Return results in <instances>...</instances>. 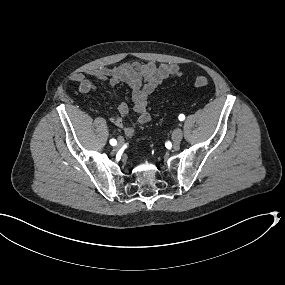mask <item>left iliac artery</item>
Here are the masks:
<instances>
[{
  "mask_svg": "<svg viewBox=\"0 0 285 285\" xmlns=\"http://www.w3.org/2000/svg\"><path fill=\"white\" fill-rule=\"evenodd\" d=\"M178 118L180 121H183L185 119V116H184V114H180Z\"/></svg>",
  "mask_w": 285,
  "mask_h": 285,
  "instance_id": "left-iliac-artery-1",
  "label": "left iliac artery"
}]
</instances>
